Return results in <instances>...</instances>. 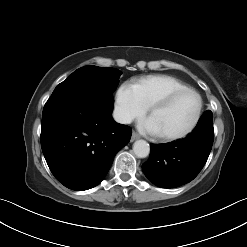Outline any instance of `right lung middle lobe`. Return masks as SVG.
Returning a JSON list of instances; mask_svg holds the SVG:
<instances>
[{
  "instance_id": "1",
  "label": "right lung middle lobe",
  "mask_w": 247,
  "mask_h": 247,
  "mask_svg": "<svg viewBox=\"0 0 247 247\" xmlns=\"http://www.w3.org/2000/svg\"><path fill=\"white\" fill-rule=\"evenodd\" d=\"M121 71L114 68L84 66L57 85L50 98L71 94H93L107 97L111 102Z\"/></svg>"
}]
</instances>
